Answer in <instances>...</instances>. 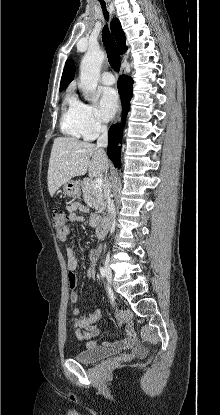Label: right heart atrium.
Here are the masks:
<instances>
[{
    "instance_id": "obj_1",
    "label": "right heart atrium",
    "mask_w": 220,
    "mask_h": 415,
    "mask_svg": "<svg viewBox=\"0 0 220 415\" xmlns=\"http://www.w3.org/2000/svg\"><path fill=\"white\" fill-rule=\"evenodd\" d=\"M81 117L84 127V133L87 138H95L105 130V125L98 118L94 106L86 103L81 104Z\"/></svg>"
}]
</instances>
